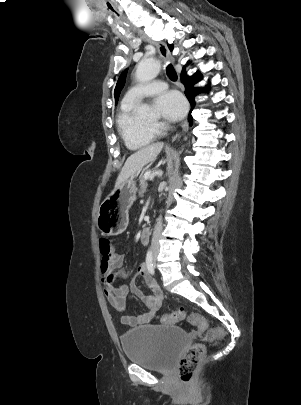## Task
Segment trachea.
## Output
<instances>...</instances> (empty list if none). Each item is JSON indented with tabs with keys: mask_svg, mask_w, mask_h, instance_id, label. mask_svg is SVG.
Returning a JSON list of instances; mask_svg holds the SVG:
<instances>
[{
	"mask_svg": "<svg viewBox=\"0 0 301 405\" xmlns=\"http://www.w3.org/2000/svg\"><path fill=\"white\" fill-rule=\"evenodd\" d=\"M166 71H167V75L170 78V80H172V81L177 80V73L171 64H168V66L166 67Z\"/></svg>",
	"mask_w": 301,
	"mask_h": 405,
	"instance_id": "1",
	"label": "trachea"
}]
</instances>
